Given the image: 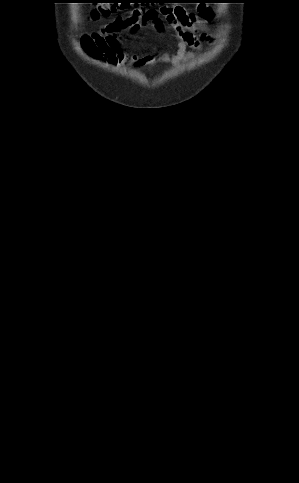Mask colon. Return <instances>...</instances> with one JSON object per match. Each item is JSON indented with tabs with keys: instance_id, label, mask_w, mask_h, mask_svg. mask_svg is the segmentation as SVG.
Instances as JSON below:
<instances>
[{
	"instance_id": "1",
	"label": "colon",
	"mask_w": 299,
	"mask_h": 483,
	"mask_svg": "<svg viewBox=\"0 0 299 483\" xmlns=\"http://www.w3.org/2000/svg\"><path fill=\"white\" fill-rule=\"evenodd\" d=\"M95 3L96 6L91 12L93 17H109L126 6L121 0H99Z\"/></svg>"
}]
</instances>
